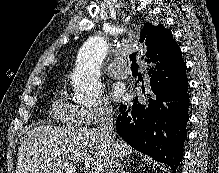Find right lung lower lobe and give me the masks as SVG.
Returning a JSON list of instances; mask_svg holds the SVG:
<instances>
[{
  "mask_svg": "<svg viewBox=\"0 0 219 173\" xmlns=\"http://www.w3.org/2000/svg\"><path fill=\"white\" fill-rule=\"evenodd\" d=\"M149 90L119 107L116 121L118 134L134 149L175 170L183 156L189 96L181 55H156L147 59Z\"/></svg>",
  "mask_w": 219,
  "mask_h": 173,
  "instance_id": "right-lung-lower-lobe-1",
  "label": "right lung lower lobe"
}]
</instances>
